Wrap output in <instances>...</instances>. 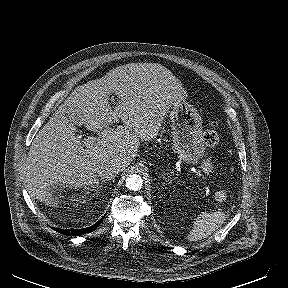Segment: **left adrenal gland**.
<instances>
[{
	"label": "left adrenal gland",
	"mask_w": 288,
	"mask_h": 288,
	"mask_svg": "<svg viewBox=\"0 0 288 288\" xmlns=\"http://www.w3.org/2000/svg\"><path fill=\"white\" fill-rule=\"evenodd\" d=\"M160 175L163 176V179H164V180L170 181V182L172 181L171 178H170V176H168V178L165 176V175H166L165 173H161ZM167 175H168V174H167Z\"/></svg>",
	"instance_id": "1"
}]
</instances>
